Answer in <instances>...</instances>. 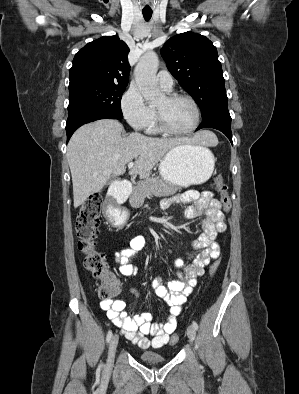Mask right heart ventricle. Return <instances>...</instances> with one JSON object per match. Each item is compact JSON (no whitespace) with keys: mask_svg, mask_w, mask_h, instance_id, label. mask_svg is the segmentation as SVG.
<instances>
[{"mask_svg":"<svg viewBox=\"0 0 299 394\" xmlns=\"http://www.w3.org/2000/svg\"><path fill=\"white\" fill-rule=\"evenodd\" d=\"M147 131H148V133H151V134L158 133L161 131V129L159 128V125L157 123L155 112H154V118H153L152 122L150 123V125L148 126Z\"/></svg>","mask_w":299,"mask_h":394,"instance_id":"obj_1","label":"right heart ventricle"}]
</instances>
